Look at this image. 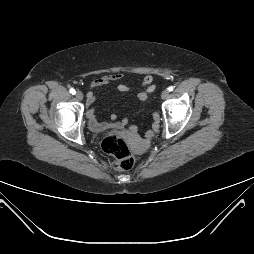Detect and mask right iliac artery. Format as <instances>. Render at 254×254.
Wrapping results in <instances>:
<instances>
[{"instance_id":"82829eb1","label":"right iliac artery","mask_w":254,"mask_h":254,"mask_svg":"<svg viewBox=\"0 0 254 254\" xmlns=\"http://www.w3.org/2000/svg\"><path fill=\"white\" fill-rule=\"evenodd\" d=\"M69 92L71 93V94H75V90L73 89V88H71L70 90H69Z\"/></svg>"}]
</instances>
